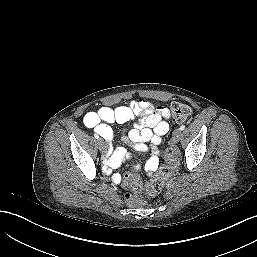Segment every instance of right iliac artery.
<instances>
[{
  "instance_id": "right-iliac-artery-1",
  "label": "right iliac artery",
  "mask_w": 257,
  "mask_h": 257,
  "mask_svg": "<svg viewBox=\"0 0 257 257\" xmlns=\"http://www.w3.org/2000/svg\"><path fill=\"white\" fill-rule=\"evenodd\" d=\"M94 137H95L96 139H98V138H99L98 134H94Z\"/></svg>"
}]
</instances>
